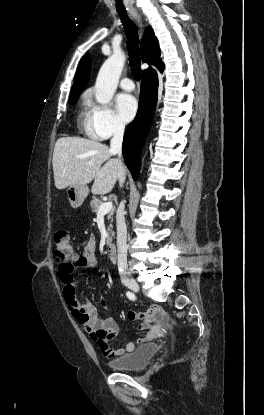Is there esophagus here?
Listing matches in <instances>:
<instances>
[{
  "label": "esophagus",
  "mask_w": 264,
  "mask_h": 415,
  "mask_svg": "<svg viewBox=\"0 0 264 415\" xmlns=\"http://www.w3.org/2000/svg\"><path fill=\"white\" fill-rule=\"evenodd\" d=\"M130 14L138 22V24L141 28V32H142L143 25H142V21H141V16L137 12H131Z\"/></svg>",
  "instance_id": "34e87169"
}]
</instances>
